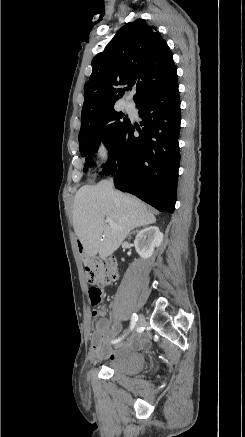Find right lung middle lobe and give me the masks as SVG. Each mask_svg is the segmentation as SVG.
Wrapping results in <instances>:
<instances>
[{
	"label": "right lung middle lobe",
	"instance_id": "obj_1",
	"mask_svg": "<svg viewBox=\"0 0 245 437\" xmlns=\"http://www.w3.org/2000/svg\"><path fill=\"white\" fill-rule=\"evenodd\" d=\"M129 123L130 119L124 117L121 112L115 111L113 107L81 126L78 140L81 156L85 157L86 161L85 172L92 164L93 153L100 142L105 143L111 154Z\"/></svg>",
	"mask_w": 245,
	"mask_h": 437
}]
</instances>
